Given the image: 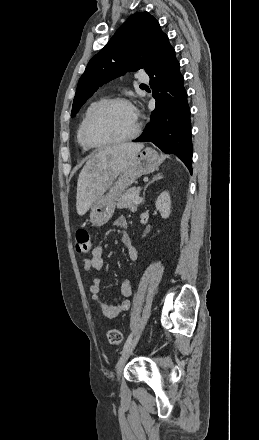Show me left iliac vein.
Returning a JSON list of instances; mask_svg holds the SVG:
<instances>
[{"instance_id":"obj_1","label":"left iliac vein","mask_w":259,"mask_h":440,"mask_svg":"<svg viewBox=\"0 0 259 440\" xmlns=\"http://www.w3.org/2000/svg\"><path fill=\"white\" fill-rule=\"evenodd\" d=\"M142 330L143 328H141V330L136 334V336L134 337V339L130 342V344L128 345V347L123 351L118 364H117V368H116V374H117V379L119 380V377L121 375L122 369L126 363V361L128 360L129 356L131 355V353L133 352L134 348L136 347L141 334H142Z\"/></svg>"}]
</instances>
